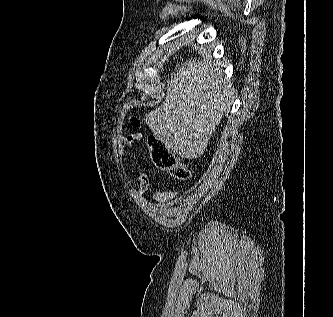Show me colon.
Wrapping results in <instances>:
<instances>
[{
  "label": "colon",
  "instance_id": "colon-1",
  "mask_svg": "<svg viewBox=\"0 0 333 317\" xmlns=\"http://www.w3.org/2000/svg\"><path fill=\"white\" fill-rule=\"evenodd\" d=\"M132 124L138 126L139 121L133 118ZM147 146L152 162L159 169L167 172L177 180L185 181L190 178L191 172L188 166L155 135L148 136Z\"/></svg>",
  "mask_w": 333,
  "mask_h": 317
}]
</instances>
